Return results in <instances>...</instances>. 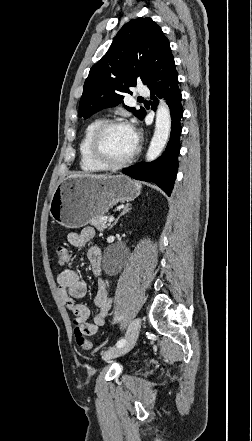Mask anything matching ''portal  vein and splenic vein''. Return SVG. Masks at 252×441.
I'll return each mask as SVG.
<instances>
[{
    "mask_svg": "<svg viewBox=\"0 0 252 441\" xmlns=\"http://www.w3.org/2000/svg\"><path fill=\"white\" fill-rule=\"evenodd\" d=\"M103 219H105V218H103ZM108 221L109 222H113L114 221V217H109Z\"/></svg>",
    "mask_w": 252,
    "mask_h": 441,
    "instance_id": "obj_1",
    "label": "portal vein and splenic vein"
}]
</instances>
